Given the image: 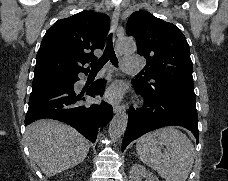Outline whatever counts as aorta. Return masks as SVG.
Returning a JSON list of instances; mask_svg holds the SVG:
<instances>
[{"instance_id":"obj_1","label":"aorta","mask_w":228,"mask_h":181,"mask_svg":"<svg viewBox=\"0 0 228 181\" xmlns=\"http://www.w3.org/2000/svg\"><path fill=\"white\" fill-rule=\"evenodd\" d=\"M118 51L122 53H134L136 50V44L131 38H122L117 44ZM128 123V115L125 112L117 114L109 125V136L116 140L120 138L126 130Z\"/></svg>"}]
</instances>
